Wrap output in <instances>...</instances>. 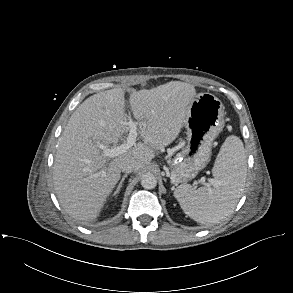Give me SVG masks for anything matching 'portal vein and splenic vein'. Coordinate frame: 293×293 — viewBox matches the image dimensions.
I'll list each match as a JSON object with an SVG mask.
<instances>
[{
  "label": "portal vein and splenic vein",
  "instance_id": "obj_1",
  "mask_svg": "<svg viewBox=\"0 0 293 293\" xmlns=\"http://www.w3.org/2000/svg\"><path fill=\"white\" fill-rule=\"evenodd\" d=\"M124 125H127L129 127V134L126 139V142L124 144H121L116 147L112 148H106L104 146H101L103 155L108 158H114L117 157L123 153H125L129 148H131L133 145H135L136 138H137V126L138 122L129 120L128 122H123Z\"/></svg>",
  "mask_w": 293,
  "mask_h": 293
}]
</instances>
